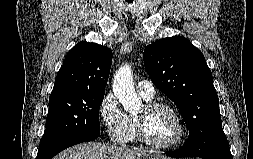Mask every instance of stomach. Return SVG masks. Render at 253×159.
<instances>
[{
    "label": "stomach",
    "instance_id": "1",
    "mask_svg": "<svg viewBox=\"0 0 253 159\" xmlns=\"http://www.w3.org/2000/svg\"><path fill=\"white\" fill-rule=\"evenodd\" d=\"M145 159H162V158H145Z\"/></svg>",
    "mask_w": 253,
    "mask_h": 159
}]
</instances>
